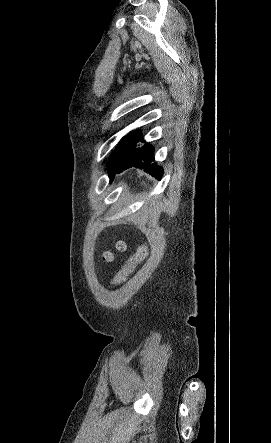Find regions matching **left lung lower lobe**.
I'll return each mask as SVG.
<instances>
[{"mask_svg": "<svg viewBox=\"0 0 271 443\" xmlns=\"http://www.w3.org/2000/svg\"><path fill=\"white\" fill-rule=\"evenodd\" d=\"M141 140L139 132L129 134L124 140H121L118 146V152L110 171V179L113 180L115 174L121 173L125 169L136 167L144 169L145 172L156 177L158 180L162 178L163 169L151 163L154 161L153 147L145 144L141 148H135V145Z\"/></svg>", "mask_w": 271, "mask_h": 443, "instance_id": "0a47b994", "label": "left lung lower lobe"}]
</instances>
